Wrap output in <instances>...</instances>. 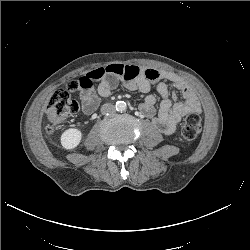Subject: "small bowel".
Listing matches in <instances>:
<instances>
[{"label":"small bowel","instance_id":"obj_1","mask_svg":"<svg viewBox=\"0 0 250 250\" xmlns=\"http://www.w3.org/2000/svg\"><path fill=\"white\" fill-rule=\"evenodd\" d=\"M122 82L131 90L147 93L153 86L162 97L156 114V97L148 95L140 105L141 112L152 120L153 125L162 133H172L181 119L191 113H200L201 104L189 84L174 73L143 68L130 64H112L88 71L79 79L82 111L91 115L98 108L101 98L107 97ZM166 82H171L183 100H178L174 93L170 97Z\"/></svg>","mask_w":250,"mask_h":250}]
</instances>
